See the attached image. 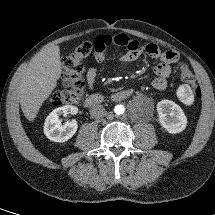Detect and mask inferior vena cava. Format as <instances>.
Masks as SVG:
<instances>
[{"label": "inferior vena cava", "instance_id": "inferior-vena-cava-1", "mask_svg": "<svg viewBox=\"0 0 215 215\" xmlns=\"http://www.w3.org/2000/svg\"><path fill=\"white\" fill-rule=\"evenodd\" d=\"M106 114L105 108L101 104H95L90 108V115L93 119H100Z\"/></svg>", "mask_w": 215, "mask_h": 215}]
</instances>
